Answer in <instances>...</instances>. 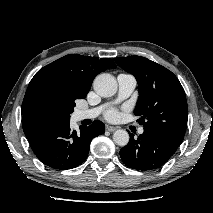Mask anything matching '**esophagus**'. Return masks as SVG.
Instances as JSON below:
<instances>
[{"instance_id": "obj_1", "label": "esophagus", "mask_w": 213, "mask_h": 213, "mask_svg": "<svg viewBox=\"0 0 213 213\" xmlns=\"http://www.w3.org/2000/svg\"><path fill=\"white\" fill-rule=\"evenodd\" d=\"M106 130L109 132H114L117 130V127H113V126H106Z\"/></svg>"}]
</instances>
